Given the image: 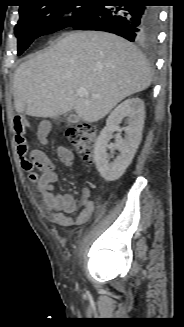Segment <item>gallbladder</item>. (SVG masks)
<instances>
[{
	"instance_id": "1",
	"label": "gallbladder",
	"mask_w": 184,
	"mask_h": 327,
	"mask_svg": "<svg viewBox=\"0 0 184 327\" xmlns=\"http://www.w3.org/2000/svg\"><path fill=\"white\" fill-rule=\"evenodd\" d=\"M79 116L74 113H70L67 117L68 123H77L79 121Z\"/></svg>"
}]
</instances>
